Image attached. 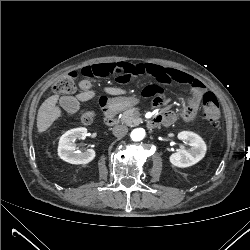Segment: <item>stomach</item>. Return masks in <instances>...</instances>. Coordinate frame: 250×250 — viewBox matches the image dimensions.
<instances>
[{
  "label": "stomach",
  "mask_w": 250,
  "mask_h": 250,
  "mask_svg": "<svg viewBox=\"0 0 250 250\" xmlns=\"http://www.w3.org/2000/svg\"><path fill=\"white\" fill-rule=\"evenodd\" d=\"M139 99L135 97H118L111 100L112 105L119 109L129 108L139 103Z\"/></svg>",
  "instance_id": "0dacf381"
}]
</instances>
